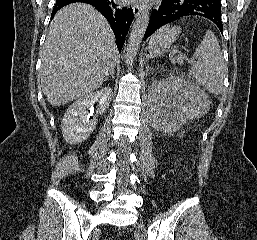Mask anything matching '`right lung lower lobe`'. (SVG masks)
<instances>
[{"mask_svg": "<svg viewBox=\"0 0 257 240\" xmlns=\"http://www.w3.org/2000/svg\"><path fill=\"white\" fill-rule=\"evenodd\" d=\"M74 2L90 4L101 12L112 27L120 52L124 45L130 24L134 18L132 8L121 6L115 3L114 0H56V4L52 11V17L59 9Z\"/></svg>", "mask_w": 257, "mask_h": 240, "instance_id": "right-lung-lower-lobe-1", "label": "right lung lower lobe"}]
</instances>
